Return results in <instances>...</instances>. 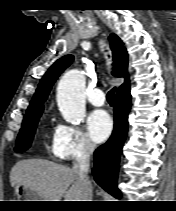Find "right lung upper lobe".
<instances>
[{"label": "right lung upper lobe", "instance_id": "1", "mask_svg": "<svg viewBox=\"0 0 176 211\" xmlns=\"http://www.w3.org/2000/svg\"><path fill=\"white\" fill-rule=\"evenodd\" d=\"M110 47L113 55V72L112 74L116 77H125L124 84L117 89V93L129 91V78L127 73L128 56L125 47L123 46L120 38L115 34L109 36ZM72 55L63 56L61 59L56 61L45 73L41 79L36 93L30 102L25 115L29 116L43 111V103L45 102L51 87L58 76L67 68L73 61Z\"/></svg>", "mask_w": 176, "mask_h": 211}]
</instances>
